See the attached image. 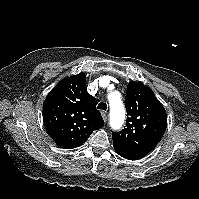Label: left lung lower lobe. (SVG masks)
<instances>
[{
  "instance_id": "obj_1",
  "label": "left lung lower lobe",
  "mask_w": 199,
  "mask_h": 199,
  "mask_svg": "<svg viewBox=\"0 0 199 199\" xmlns=\"http://www.w3.org/2000/svg\"><path fill=\"white\" fill-rule=\"evenodd\" d=\"M115 151H116L120 156H122V157L125 158V159H128V160H138V159H139V158H136V157H134V156H132V155L126 153V152H123L122 150H119V149H117V148H115Z\"/></svg>"
}]
</instances>
